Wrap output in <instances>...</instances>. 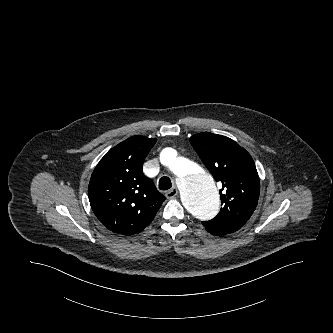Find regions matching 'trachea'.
I'll list each match as a JSON object with an SVG mask.
<instances>
[{
  "instance_id": "1",
  "label": "trachea",
  "mask_w": 333,
  "mask_h": 333,
  "mask_svg": "<svg viewBox=\"0 0 333 333\" xmlns=\"http://www.w3.org/2000/svg\"><path fill=\"white\" fill-rule=\"evenodd\" d=\"M172 187V183L169 177H161L159 180V189L168 190Z\"/></svg>"
}]
</instances>
